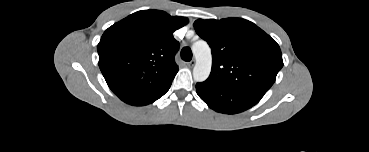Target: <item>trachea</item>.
Segmentation results:
<instances>
[{
  "mask_svg": "<svg viewBox=\"0 0 369 152\" xmlns=\"http://www.w3.org/2000/svg\"><path fill=\"white\" fill-rule=\"evenodd\" d=\"M181 58L184 60V61H191L192 59V51L189 47H184L182 50H181Z\"/></svg>",
  "mask_w": 369,
  "mask_h": 152,
  "instance_id": "1",
  "label": "trachea"
}]
</instances>
